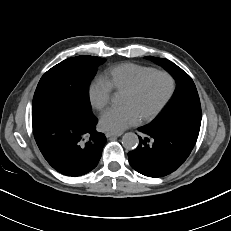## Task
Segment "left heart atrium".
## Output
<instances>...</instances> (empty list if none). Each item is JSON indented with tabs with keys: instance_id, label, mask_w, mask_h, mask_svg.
<instances>
[{
	"instance_id": "1",
	"label": "left heart atrium",
	"mask_w": 231,
	"mask_h": 231,
	"mask_svg": "<svg viewBox=\"0 0 231 231\" xmlns=\"http://www.w3.org/2000/svg\"><path fill=\"white\" fill-rule=\"evenodd\" d=\"M140 117L130 105L111 108L100 119V126L104 131L120 133L125 129L137 124Z\"/></svg>"
}]
</instances>
